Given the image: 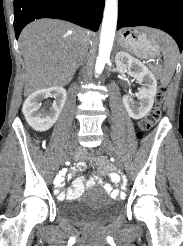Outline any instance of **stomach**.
Here are the masks:
<instances>
[{
    "label": "stomach",
    "instance_id": "1",
    "mask_svg": "<svg viewBox=\"0 0 183 246\" xmlns=\"http://www.w3.org/2000/svg\"><path fill=\"white\" fill-rule=\"evenodd\" d=\"M152 31L147 28H127L120 32L119 42L128 51L140 57L156 56L160 47Z\"/></svg>",
    "mask_w": 183,
    "mask_h": 246
}]
</instances>
